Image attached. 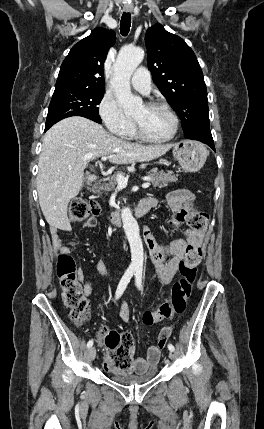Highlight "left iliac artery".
Masks as SVG:
<instances>
[{
    "label": "left iliac artery",
    "instance_id": "44dca946",
    "mask_svg": "<svg viewBox=\"0 0 264 429\" xmlns=\"http://www.w3.org/2000/svg\"><path fill=\"white\" fill-rule=\"evenodd\" d=\"M135 283H136V286L138 287V289L141 290V288H142V268L136 269ZM168 349L172 352L175 350L174 346L170 343L168 344Z\"/></svg>",
    "mask_w": 264,
    "mask_h": 429
}]
</instances>
